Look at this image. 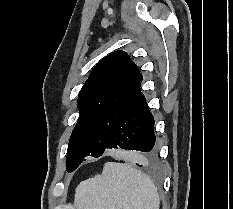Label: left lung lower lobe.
<instances>
[{"mask_svg": "<svg viewBox=\"0 0 233 209\" xmlns=\"http://www.w3.org/2000/svg\"><path fill=\"white\" fill-rule=\"evenodd\" d=\"M154 144V118L144 95L139 91L130 108L114 127L105 151L122 148L146 152L145 163L150 164L156 158Z\"/></svg>", "mask_w": 233, "mask_h": 209, "instance_id": "1", "label": "left lung lower lobe"}]
</instances>
